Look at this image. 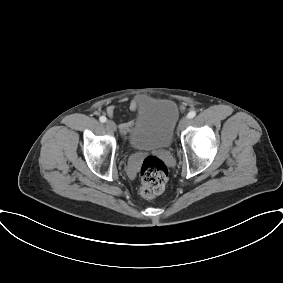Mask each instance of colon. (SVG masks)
Here are the masks:
<instances>
[{"label": "colon", "mask_w": 283, "mask_h": 283, "mask_svg": "<svg viewBox=\"0 0 283 283\" xmlns=\"http://www.w3.org/2000/svg\"><path fill=\"white\" fill-rule=\"evenodd\" d=\"M168 176L169 171L163 161L155 156L146 157L140 169V195L151 199L162 193Z\"/></svg>", "instance_id": "5ec220e1"}]
</instances>
